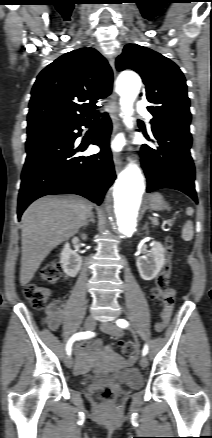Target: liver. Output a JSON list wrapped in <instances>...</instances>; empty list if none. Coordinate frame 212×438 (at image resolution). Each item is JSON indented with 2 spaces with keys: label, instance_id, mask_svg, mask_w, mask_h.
Returning a JSON list of instances; mask_svg holds the SVG:
<instances>
[{
  "label": "liver",
  "instance_id": "liver-1",
  "mask_svg": "<svg viewBox=\"0 0 212 438\" xmlns=\"http://www.w3.org/2000/svg\"><path fill=\"white\" fill-rule=\"evenodd\" d=\"M93 205L78 196L43 197L22 216L20 284L31 281L43 260L74 236L89 218Z\"/></svg>",
  "mask_w": 212,
  "mask_h": 438
}]
</instances>
